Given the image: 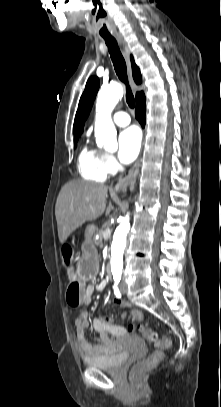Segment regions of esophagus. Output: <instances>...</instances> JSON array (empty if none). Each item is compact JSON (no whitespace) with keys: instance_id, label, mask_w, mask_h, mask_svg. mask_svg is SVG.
<instances>
[{"instance_id":"obj_1","label":"esophagus","mask_w":221,"mask_h":407,"mask_svg":"<svg viewBox=\"0 0 221 407\" xmlns=\"http://www.w3.org/2000/svg\"><path fill=\"white\" fill-rule=\"evenodd\" d=\"M115 38H116V40L118 42V45H119V47H120V49L122 51V54H123L124 58L126 60L130 84H131L133 90L135 91L136 88H137V85L135 84V82H134V80L132 78L129 48L127 46L126 41L122 37V35H115ZM139 169H140V158H138V160L135 162V164L133 165V167L129 171L128 175L126 177H124L123 179H121L115 185L114 191L121 192V191L127 189L129 186L134 185L135 182H136L138 173H139Z\"/></svg>"}]
</instances>
